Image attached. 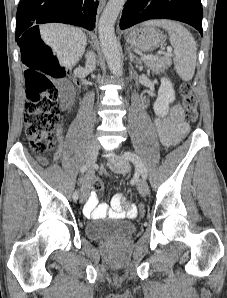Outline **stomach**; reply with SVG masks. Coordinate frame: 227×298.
Listing matches in <instances>:
<instances>
[{
	"mask_svg": "<svg viewBox=\"0 0 227 298\" xmlns=\"http://www.w3.org/2000/svg\"><path fill=\"white\" fill-rule=\"evenodd\" d=\"M163 33L156 27L144 24L129 32L126 41L129 45L144 52L153 51L164 42Z\"/></svg>",
	"mask_w": 227,
	"mask_h": 298,
	"instance_id": "0dacf381",
	"label": "stomach"
}]
</instances>
